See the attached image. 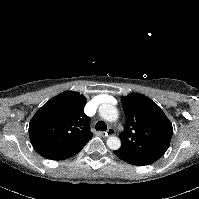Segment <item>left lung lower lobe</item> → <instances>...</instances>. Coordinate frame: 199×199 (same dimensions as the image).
Returning a JSON list of instances; mask_svg holds the SVG:
<instances>
[{"mask_svg": "<svg viewBox=\"0 0 199 199\" xmlns=\"http://www.w3.org/2000/svg\"><path fill=\"white\" fill-rule=\"evenodd\" d=\"M114 154H116L120 159H122L123 161L132 164V165H138V166H142V165H150L152 164L154 161H151L147 158L132 154L130 152L118 149L113 151Z\"/></svg>", "mask_w": 199, "mask_h": 199, "instance_id": "1", "label": "left lung lower lobe"}]
</instances>
